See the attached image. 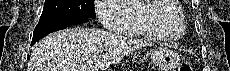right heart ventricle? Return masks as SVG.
Segmentation results:
<instances>
[{"mask_svg":"<svg viewBox=\"0 0 230 71\" xmlns=\"http://www.w3.org/2000/svg\"><path fill=\"white\" fill-rule=\"evenodd\" d=\"M127 1L117 10L128 18L117 32L157 39H177L184 34V18L179 2Z\"/></svg>","mask_w":230,"mask_h":71,"instance_id":"1","label":"right heart ventricle"}]
</instances>
